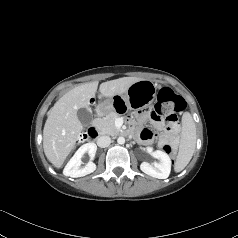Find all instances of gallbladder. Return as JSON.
I'll use <instances>...</instances> for the list:
<instances>
[{
	"mask_svg": "<svg viewBox=\"0 0 238 238\" xmlns=\"http://www.w3.org/2000/svg\"><path fill=\"white\" fill-rule=\"evenodd\" d=\"M77 116L79 121L83 124V125H88L92 122L93 117L92 114L85 108H81L77 111Z\"/></svg>",
	"mask_w": 238,
	"mask_h": 238,
	"instance_id": "1",
	"label": "gallbladder"
}]
</instances>
